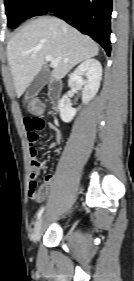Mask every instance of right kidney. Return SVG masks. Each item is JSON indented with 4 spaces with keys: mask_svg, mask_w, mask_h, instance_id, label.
<instances>
[{
    "mask_svg": "<svg viewBox=\"0 0 134 281\" xmlns=\"http://www.w3.org/2000/svg\"><path fill=\"white\" fill-rule=\"evenodd\" d=\"M84 76L87 79H84ZM102 78V66L96 59L82 62L69 78V86L82 88V103L87 104L99 90ZM61 119L68 123L76 115L78 109L72 108L69 95H64L58 105Z\"/></svg>",
    "mask_w": 134,
    "mask_h": 281,
    "instance_id": "obj_1",
    "label": "right kidney"
}]
</instances>
